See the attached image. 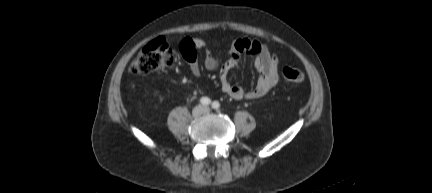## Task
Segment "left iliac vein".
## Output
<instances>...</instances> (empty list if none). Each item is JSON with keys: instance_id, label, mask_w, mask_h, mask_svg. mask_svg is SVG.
<instances>
[{"instance_id": "4c4485c4", "label": "left iliac vein", "mask_w": 432, "mask_h": 193, "mask_svg": "<svg viewBox=\"0 0 432 193\" xmlns=\"http://www.w3.org/2000/svg\"><path fill=\"white\" fill-rule=\"evenodd\" d=\"M209 111H210V109H209L208 107H205V108H204V112H205V113H208Z\"/></svg>"}]
</instances>
